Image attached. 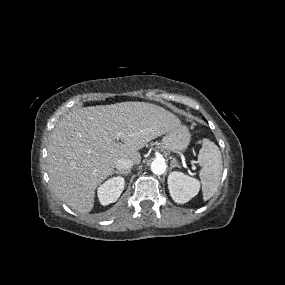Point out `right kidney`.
<instances>
[{
	"label": "right kidney",
	"mask_w": 285,
	"mask_h": 285,
	"mask_svg": "<svg viewBox=\"0 0 285 285\" xmlns=\"http://www.w3.org/2000/svg\"><path fill=\"white\" fill-rule=\"evenodd\" d=\"M125 180L123 177H113L100 185L98 188V198L102 205L115 202L124 189Z\"/></svg>",
	"instance_id": "obj_1"
}]
</instances>
